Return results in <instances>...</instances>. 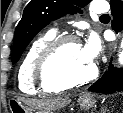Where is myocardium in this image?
<instances>
[{"instance_id":"1","label":"myocardium","mask_w":123,"mask_h":113,"mask_svg":"<svg viewBox=\"0 0 123 113\" xmlns=\"http://www.w3.org/2000/svg\"><path fill=\"white\" fill-rule=\"evenodd\" d=\"M71 43L79 44L80 41L78 37L74 35L56 36L42 49L34 66L35 78L39 85L47 89L63 90L84 85L92 81L97 76L98 70L95 64H93L92 70L88 75L72 81L62 80L52 71L53 62L60 51L66 45Z\"/></svg>"}]
</instances>
